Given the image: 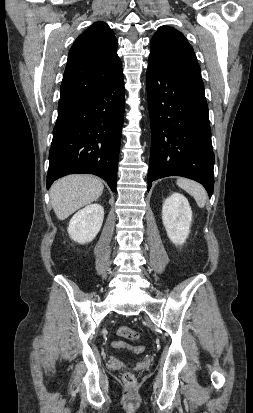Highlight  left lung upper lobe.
Returning <instances> with one entry per match:
<instances>
[{
	"mask_svg": "<svg viewBox=\"0 0 253 413\" xmlns=\"http://www.w3.org/2000/svg\"><path fill=\"white\" fill-rule=\"evenodd\" d=\"M149 58L174 76L204 90L194 50L178 30L172 27L160 28L151 39Z\"/></svg>",
	"mask_w": 253,
	"mask_h": 413,
	"instance_id": "left-lung-upper-lobe-1",
	"label": "left lung upper lobe"
}]
</instances>
